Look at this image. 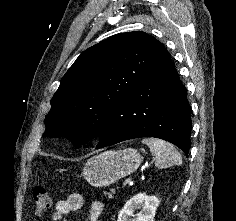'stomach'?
Wrapping results in <instances>:
<instances>
[{
  "label": "stomach",
  "instance_id": "obj_1",
  "mask_svg": "<svg viewBox=\"0 0 236 221\" xmlns=\"http://www.w3.org/2000/svg\"><path fill=\"white\" fill-rule=\"evenodd\" d=\"M142 157L133 149L111 150L90 158L83 169L85 180L94 187H106L135 172Z\"/></svg>",
  "mask_w": 236,
  "mask_h": 221
}]
</instances>
